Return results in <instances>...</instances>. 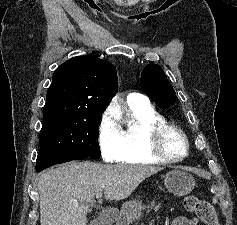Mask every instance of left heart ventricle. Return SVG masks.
Here are the masks:
<instances>
[{
	"instance_id": "b2bd125f",
	"label": "left heart ventricle",
	"mask_w": 237,
	"mask_h": 225,
	"mask_svg": "<svg viewBox=\"0 0 237 225\" xmlns=\"http://www.w3.org/2000/svg\"><path fill=\"white\" fill-rule=\"evenodd\" d=\"M166 150L174 155L179 156L184 153V144L182 139L177 134H169L165 141Z\"/></svg>"
}]
</instances>
